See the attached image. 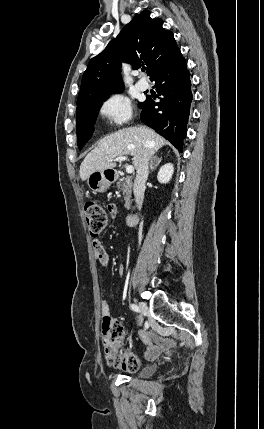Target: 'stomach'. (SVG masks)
Segmentation results:
<instances>
[{"label":"stomach","instance_id":"obj_1","mask_svg":"<svg viewBox=\"0 0 264 429\" xmlns=\"http://www.w3.org/2000/svg\"><path fill=\"white\" fill-rule=\"evenodd\" d=\"M117 179V172L114 169L94 171L87 178L88 187L93 193L105 192Z\"/></svg>","mask_w":264,"mask_h":429}]
</instances>
